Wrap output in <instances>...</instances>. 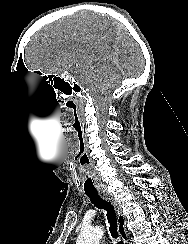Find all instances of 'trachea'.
I'll list each match as a JSON object with an SVG mask.
<instances>
[{"mask_svg":"<svg viewBox=\"0 0 188 244\" xmlns=\"http://www.w3.org/2000/svg\"><path fill=\"white\" fill-rule=\"evenodd\" d=\"M83 184L85 187V194L89 197L91 203H93L98 209L106 211L110 234L112 238H117V218L113 205L99 195L97 188H95L96 184L94 180H84ZM118 244L124 243L121 241Z\"/></svg>","mask_w":188,"mask_h":244,"instance_id":"3493384b","label":"trachea"}]
</instances>
